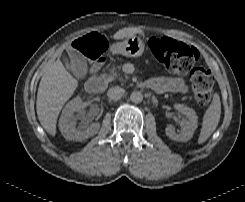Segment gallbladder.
I'll list each match as a JSON object with an SVG mask.
<instances>
[{"label":"gallbladder","instance_id":"obj_1","mask_svg":"<svg viewBox=\"0 0 245 202\" xmlns=\"http://www.w3.org/2000/svg\"><path fill=\"white\" fill-rule=\"evenodd\" d=\"M68 54L70 57V70L76 78L84 79L88 72V64L86 57L75 49H70Z\"/></svg>","mask_w":245,"mask_h":202}]
</instances>
